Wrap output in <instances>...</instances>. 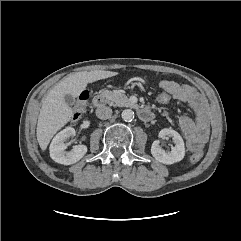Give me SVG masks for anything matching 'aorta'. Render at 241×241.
<instances>
[{"label": "aorta", "mask_w": 241, "mask_h": 241, "mask_svg": "<svg viewBox=\"0 0 241 241\" xmlns=\"http://www.w3.org/2000/svg\"><path fill=\"white\" fill-rule=\"evenodd\" d=\"M121 117L126 122L132 121L134 118V112L131 109H125L122 111Z\"/></svg>", "instance_id": "obj_1"}]
</instances>
